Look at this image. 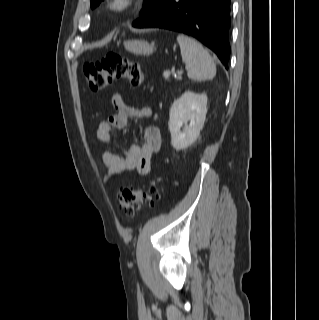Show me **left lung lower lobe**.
<instances>
[{
    "label": "left lung lower lobe",
    "mask_w": 319,
    "mask_h": 320,
    "mask_svg": "<svg viewBox=\"0 0 319 320\" xmlns=\"http://www.w3.org/2000/svg\"><path fill=\"white\" fill-rule=\"evenodd\" d=\"M132 25L191 35L210 48L228 68L230 0H161Z\"/></svg>",
    "instance_id": "0a47b994"
}]
</instances>
